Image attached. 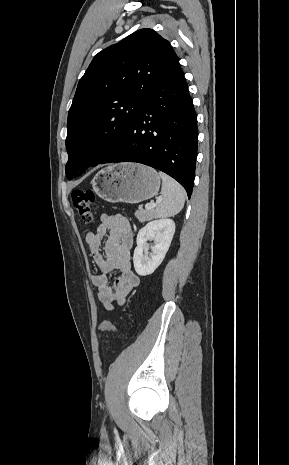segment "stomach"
Returning <instances> with one entry per match:
<instances>
[{"instance_id":"1","label":"stomach","mask_w":289,"mask_h":465,"mask_svg":"<svg viewBox=\"0 0 289 465\" xmlns=\"http://www.w3.org/2000/svg\"><path fill=\"white\" fill-rule=\"evenodd\" d=\"M91 184L107 202L135 204L158 193L160 176L155 169L142 164L119 163L100 170Z\"/></svg>"}]
</instances>
